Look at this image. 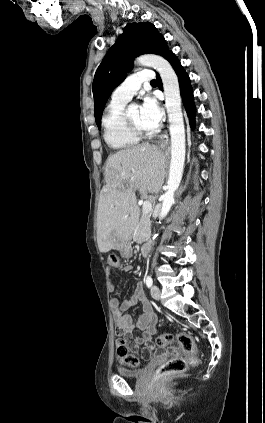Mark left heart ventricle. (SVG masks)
I'll list each match as a JSON object with an SVG mask.
<instances>
[{
	"instance_id": "obj_1",
	"label": "left heart ventricle",
	"mask_w": 265,
	"mask_h": 423,
	"mask_svg": "<svg viewBox=\"0 0 265 423\" xmlns=\"http://www.w3.org/2000/svg\"><path fill=\"white\" fill-rule=\"evenodd\" d=\"M130 119L139 127L143 129H149L148 126L143 122L139 107H135L128 112Z\"/></svg>"
}]
</instances>
